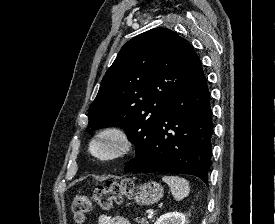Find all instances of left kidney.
<instances>
[{
	"label": "left kidney",
	"mask_w": 275,
	"mask_h": 224,
	"mask_svg": "<svg viewBox=\"0 0 275 224\" xmlns=\"http://www.w3.org/2000/svg\"><path fill=\"white\" fill-rule=\"evenodd\" d=\"M154 224H185V215L177 211L166 213L160 216Z\"/></svg>",
	"instance_id": "5707ae66"
}]
</instances>
